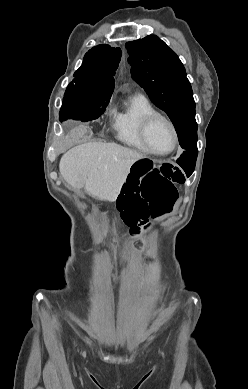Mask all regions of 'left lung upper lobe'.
Returning a JSON list of instances; mask_svg holds the SVG:
<instances>
[{
    "label": "left lung upper lobe",
    "instance_id": "1",
    "mask_svg": "<svg viewBox=\"0 0 248 389\" xmlns=\"http://www.w3.org/2000/svg\"><path fill=\"white\" fill-rule=\"evenodd\" d=\"M132 78L151 101L166 112L185 150L197 147V137L186 133L184 122L195 116V102L179 57L156 35L126 43Z\"/></svg>",
    "mask_w": 248,
    "mask_h": 389
}]
</instances>
